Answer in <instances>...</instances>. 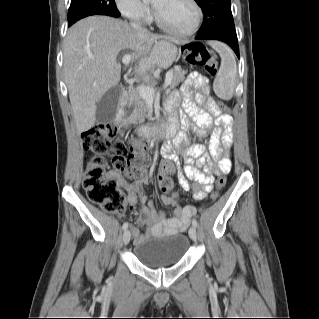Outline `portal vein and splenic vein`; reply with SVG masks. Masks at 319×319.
Returning a JSON list of instances; mask_svg holds the SVG:
<instances>
[{"instance_id":"portal-vein-and-splenic-vein-1","label":"portal vein and splenic vein","mask_w":319,"mask_h":319,"mask_svg":"<svg viewBox=\"0 0 319 319\" xmlns=\"http://www.w3.org/2000/svg\"><path fill=\"white\" fill-rule=\"evenodd\" d=\"M131 61V55L130 54H125L122 58V62L125 65H128ZM172 71H168L165 75V83L163 85V88L166 89L171 82V78H172ZM137 90L139 91L140 95L144 98V99H152L155 95L156 90L149 87V86H145V85H140L137 87Z\"/></svg>"}]
</instances>
